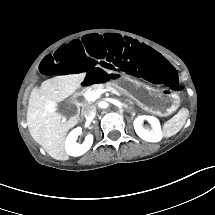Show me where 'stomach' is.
Instances as JSON below:
<instances>
[{
	"mask_svg": "<svg viewBox=\"0 0 215 215\" xmlns=\"http://www.w3.org/2000/svg\"><path fill=\"white\" fill-rule=\"evenodd\" d=\"M121 89L140 105L147 106L155 111L167 113L173 111L179 105V97L175 93L150 91L134 82L124 83V87H121Z\"/></svg>",
	"mask_w": 215,
	"mask_h": 215,
	"instance_id": "0dacf381",
	"label": "stomach"
}]
</instances>
